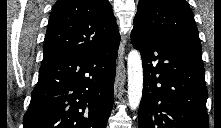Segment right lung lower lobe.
Returning a JSON list of instances; mask_svg holds the SVG:
<instances>
[{"label":"right lung lower lobe","mask_w":221,"mask_h":128,"mask_svg":"<svg viewBox=\"0 0 221 128\" xmlns=\"http://www.w3.org/2000/svg\"><path fill=\"white\" fill-rule=\"evenodd\" d=\"M119 40L42 64L24 128H106L114 100Z\"/></svg>","instance_id":"obj_1"}]
</instances>
